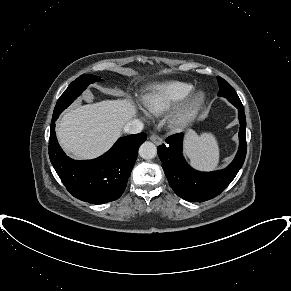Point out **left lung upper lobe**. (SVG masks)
Masks as SVG:
<instances>
[{"instance_id": "left-lung-upper-lobe-1", "label": "left lung upper lobe", "mask_w": 291, "mask_h": 291, "mask_svg": "<svg viewBox=\"0 0 291 291\" xmlns=\"http://www.w3.org/2000/svg\"><path fill=\"white\" fill-rule=\"evenodd\" d=\"M219 84V92L218 95L227 98L232 104L237 102H241L236 91L233 87L227 83L223 78L217 77Z\"/></svg>"}]
</instances>
